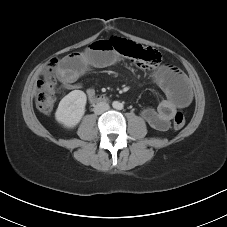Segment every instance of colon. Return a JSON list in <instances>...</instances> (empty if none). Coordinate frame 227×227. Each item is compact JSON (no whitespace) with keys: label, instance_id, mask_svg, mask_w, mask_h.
I'll return each mask as SVG.
<instances>
[{"label":"colon","instance_id":"colon-1","mask_svg":"<svg viewBox=\"0 0 227 227\" xmlns=\"http://www.w3.org/2000/svg\"><path fill=\"white\" fill-rule=\"evenodd\" d=\"M115 46V51L134 60L139 66L152 69L161 61V55L158 51L143 47L132 41L113 37L108 39ZM59 64L58 59H52L48 65V71L51 72ZM55 102V83L49 74L41 75L37 81L36 105L43 114H50L53 111ZM186 116L183 112H177L174 115L173 127L180 129L185 125Z\"/></svg>","mask_w":227,"mask_h":227}]
</instances>
